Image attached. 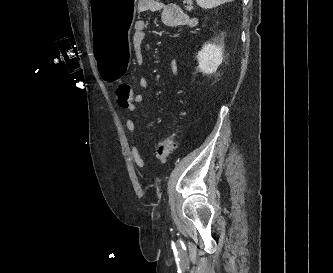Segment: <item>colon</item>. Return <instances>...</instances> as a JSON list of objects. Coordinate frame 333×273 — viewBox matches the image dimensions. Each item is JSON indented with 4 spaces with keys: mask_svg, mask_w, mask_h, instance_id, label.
I'll return each instance as SVG.
<instances>
[{
    "mask_svg": "<svg viewBox=\"0 0 333 273\" xmlns=\"http://www.w3.org/2000/svg\"><path fill=\"white\" fill-rule=\"evenodd\" d=\"M116 94L121 108L128 109L135 104L132 88L128 84L119 85ZM175 148L176 136L175 134H171L157 144L155 158L160 162H166Z\"/></svg>",
    "mask_w": 333,
    "mask_h": 273,
    "instance_id": "obj_1",
    "label": "colon"
}]
</instances>
